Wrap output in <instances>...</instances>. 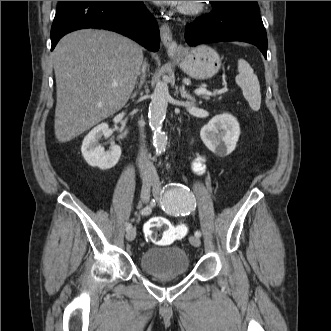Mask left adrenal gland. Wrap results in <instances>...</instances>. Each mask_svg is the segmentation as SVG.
<instances>
[{
  "instance_id": "a2214340",
  "label": "left adrenal gland",
  "mask_w": 331,
  "mask_h": 331,
  "mask_svg": "<svg viewBox=\"0 0 331 331\" xmlns=\"http://www.w3.org/2000/svg\"><path fill=\"white\" fill-rule=\"evenodd\" d=\"M180 94H181V97L184 98V99H187L191 102H195V98L193 96H191L189 93H187V91L185 90V86L182 85L180 87Z\"/></svg>"
}]
</instances>
